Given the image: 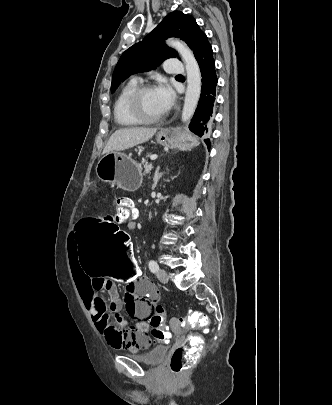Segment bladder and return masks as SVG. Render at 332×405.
Instances as JSON below:
<instances>
[{
  "instance_id": "31cf9c89",
  "label": "bladder",
  "mask_w": 332,
  "mask_h": 405,
  "mask_svg": "<svg viewBox=\"0 0 332 405\" xmlns=\"http://www.w3.org/2000/svg\"><path fill=\"white\" fill-rule=\"evenodd\" d=\"M167 351H168L167 346L159 345L144 353L130 350L129 354L132 357H134L135 359H137L138 361H140L146 365L153 366V365L160 364L164 360V358L166 357Z\"/></svg>"
}]
</instances>
